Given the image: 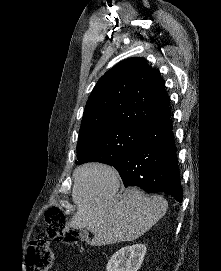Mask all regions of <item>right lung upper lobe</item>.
<instances>
[{
	"label": "right lung upper lobe",
	"instance_id": "obj_1",
	"mask_svg": "<svg viewBox=\"0 0 221 271\" xmlns=\"http://www.w3.org/2000/svg\"><path fill=\"white\" fill-rule=\"evenodd\" d=\"M169 97L157 69L144 58L124 60L102 76L88 98L79 136L109 126L147 129L170 116Z\"/></svg>",
	"mask_w": 221,
	"mask_h": 271
}]
</instances>
